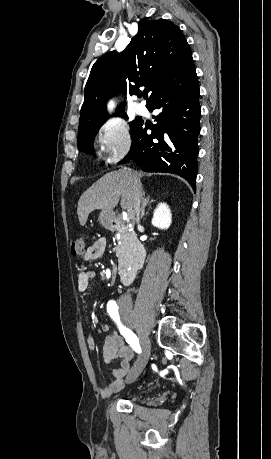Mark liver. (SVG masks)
<instances>
[{
    "label": "liver",
    "mask_w": 271,
    "mask_h": 459,
    "mask_svg": "<svg viewBox=\"0 0 271 459\" xmlns=\"http://www.w3.org/2000/svg\"><path fill=\"white\" fill-rule=\"evenodd\" d=\"M144 176L143 172H132L128 168L118 170V172H109L102 176L98 182H95L91 188H88L82 194L77 208V214L81 226H85L87 218L93 210H103V212H112L117 206L121 196V208L130 210L133 214V198L135 184L141 190L140 178Z\"/></svg>",
    "instance_id": "6515ba94"
}]
</instances>
